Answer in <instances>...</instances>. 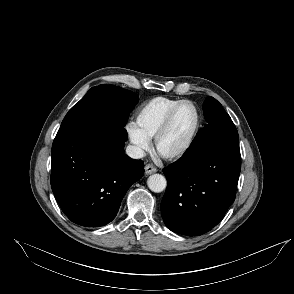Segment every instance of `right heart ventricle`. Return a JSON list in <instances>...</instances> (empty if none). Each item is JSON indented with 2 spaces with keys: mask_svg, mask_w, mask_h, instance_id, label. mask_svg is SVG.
Instances as JSON below:
<instances>
[{
  "mask_svg": "<svg viewBox=\"0 0 294 294\" xmlns=\"http://www.w3.org/2000/svg\"><path fill=\"white\" fill-rule=\"evenodd\" d=\"M183 99L155 97L144 103L136 114V126L149 140L153 139L169 110Z\"/></svg>",
  "mask_w": 294,
  "mask_h": 294,
  "instance_id": "right-heart-ventricle-1",
  "label": "right heart ventricle"
}]
</instances>
